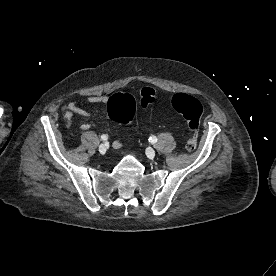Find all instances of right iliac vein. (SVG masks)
I'll return each instance as SVG.
<instances>
[{
	"label": "right iliac vein",
	"instance_id": "63e3f726",
	"mask_svg": "<svg viewBox=\"0 0 276 276\" xmlns=\"http://www.w3.org/2000/svg\"><path fill=\"white\" fill-rule=\"evenodd\" d=\"M98 149H99V152H100L101 154H104V153L106 152V150H107L105 144H100Z\"/></svg>",
	"mask_w": 276,
	"mask_h": 276
}]
</instances>
